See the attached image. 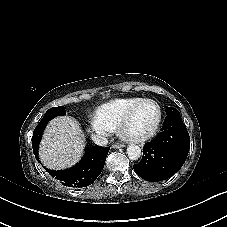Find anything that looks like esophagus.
<instances>
[{
    "instance_id": "obj_1",
    "label": "esophagus",
    "mask_w": 227,
    "mask_h": 227,
    "mask_svg": "<svg viewBox=\"0 0 227 227\" xmlns=\"http://www.w3.org/2000/svg\"><path fill=\"white\" fill-rule=\"evenodd\" d=\"M125 147L124 143H114L112 144V148H123Z\"/></svg>"
}]
</instances>
